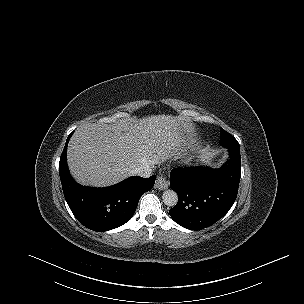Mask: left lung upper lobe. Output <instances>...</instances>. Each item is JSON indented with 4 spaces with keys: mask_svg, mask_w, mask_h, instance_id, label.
<instances>
[{
    "mask_svg": "<svg viewBox=\"0 0 304 304\" xmlns=\"http://www.w3.org/2000/svg\"><path fill=\"white\" fill-rule=\"evenodd\" d=\"M220 143L224 147H227V146L238 147L239 146V143L237 142V140L231 134H229L227 131H225L223 128H221Z\"/></svg>",
    "mask_w": 304,
    "mask_h": 304,
    "instance_id": "obj_1",
    "label": "left lung upper lobe"
}]
</instances>
